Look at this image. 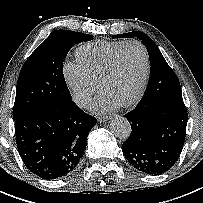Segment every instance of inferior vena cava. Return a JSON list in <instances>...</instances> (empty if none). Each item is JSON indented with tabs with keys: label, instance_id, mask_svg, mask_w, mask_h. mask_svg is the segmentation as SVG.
Returning a JSON list of instances; mask_svg holds the SVG:
<instances>
[{
	"label": "inferior vena cava",
	"instance_id": "obj_1",
	"mask_svg": "<svg viewBox=\"0 0 203 203\" xmlns=\"http://www.w3.org/2000/svg\"><path fill=\"white\" fill-rule=\"evenodd\" d=\"M88 100V96L86 95H81V96H78L75 101L78 105H85L86 101Z\"/></svg>",
	"mask_w": 203,
	"mask_h": 203
}]
</instances>
